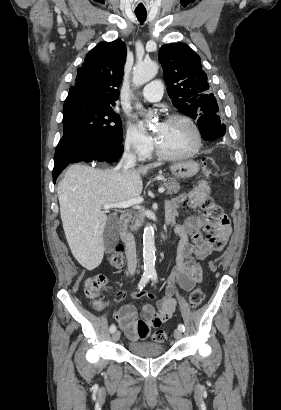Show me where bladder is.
I'll use <instances>...</instances> for the list:
<instances>
[{
    "instance_id": "1",
    "label": "bladder",
    "mask_w": 281,
    "mask_h": 410,
    "mask_svg": "<svg viewBox=\"0 0 281 410\" xmlns=\"http://www.w3.org/2000/svg\"><path fill=\"white\" fill-rule=\"evenodd\" d=\"M129 352L135 356L153 357L162 355L165 352L164 346L154 342H131Z\"/></svg>"
}]
</instances>
